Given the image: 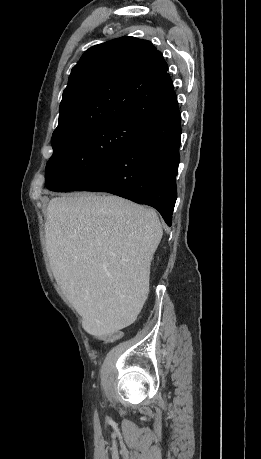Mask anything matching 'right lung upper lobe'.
<instances>
[{
	"instance_id": "obj_1",
	"label": "right lung upper lobe",
	"mask_w": 261,
	"mask_h": 459,
	"mask_svg": "<svg viewBox=\"0 0 261 459\" xmlns=\"http://www.w3.org/2000/svg\"><path fill=\"white\" fill-rule=\"evenodd\" d=\"M168 65L153 44L122 37L88 49L72 68L52 138L102 124L149 125L178 107Z\"/></svg>"
}]
</instances>
